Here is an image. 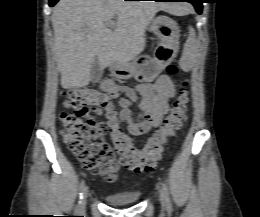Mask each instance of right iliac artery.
Segmentation results:
<instances>
[{"instance_id":"obj_1","label":"right iliac artery","mask_w":260,"mask_h":217,"mask_svg":"<svg viewBox=\"0 0 260 217\" xmlns=\"http://www.w3.org/2000/svg\"><path fill=\"white\" fill-rule=\"evenodd\" d=\"M84 189H85V182L84 180L81 181L80 183V193H79V202L75 208V210L78 212L80 210V204H81V200L83 198V192H84Z\"/></svg>"}]
</instances>
